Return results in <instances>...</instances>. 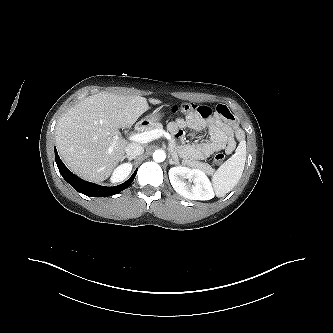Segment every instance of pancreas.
<instances>
[{"label":"pancreas","mask_w":333,"mask_h":333,"mask_svg":"<svg viewBox=\"0 0 333 333\" xmlns=\"http://www.w3.org/2000/svg\"><path fill=\"white\" fill-rule=\"evenodd\" d=\"M154 129L163 130V125L159 122H152L149 125H147L146 127H144L145 132L146 131H151V130H154ZM169 145L173 149V154L175 156H177V152H176L177 147H176V144H175L174 140ZM183 165L191 167V168H195V169H201V170L206 171L207 173H211L213 171L212 167L209 164L199 162V161H196V160L183 161Z\"/></svg>","instance_id":"pancreas-1"}]
</instances>
